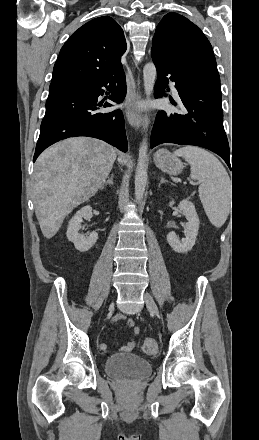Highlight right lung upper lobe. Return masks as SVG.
I'll list each match as a JSON object with an SVG mask.
<instances>
[{
    "instance_id": "1",
    "label": "right lung upper lobe",
    "mask_w": 259,
    "mask_h": 440,
    "mask_svg": "<svg viewBox=\"0 0 259 440\" xmlns=\"http://www.w3.org/2000/svg\"><path fill=\"white\" fill-rule=\"evenodd\" d=\"M127 48L122 28L109 16L95 18L66 41L54 65L49 89L102 80L122 68Z\"/></svg>"
}]
</instances>
